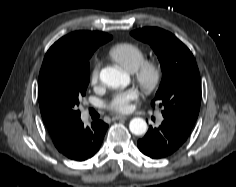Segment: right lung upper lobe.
Instances as JSON below:
<instances>
[{"mask_svg": "<svg viewBox=\"0 0 236 187\" xmlns=\"http://www.w3.org/2000/svg\"><path fill=\"white\" fill-rule=\"evenodd\" d=\"M111 39L112 36L104 32L75 31L55 42L48 52L61 50L67 53H74L104 44ZM42 118L52 137L54 145L59 152H62L67 146L68 139L79 121H68L47 115H42Z\"/></svg>", "mask_w": 236, "mask_h": 187, "instance_id": "1", "label": "right lung upper lobe"}]
</instances>
